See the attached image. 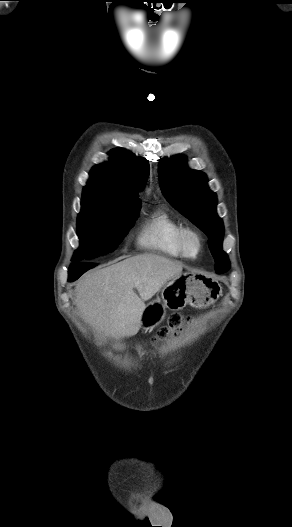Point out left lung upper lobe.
Masks as SVG:
<instances>
[{
    "mask_svg": "<svg viewBox=\"0 0 292 527\" xmlns=\"http://www.w3.org/2000/svg\"><path fill=\"white\" fill-rule=\"evenodd\" d=\"M158 171L161 191L169 203L208 236L216 272L229 269L228 257L221 248L224 228L216 213V194L208 189L205 174L188 169L183 156L164 159Z\"/></svg>",
    "mask_w": 292,
    "mask_h": 527,
    "instance_id": "obj_1",
    "label": "left lung upper lobe"
}]
</instances>
